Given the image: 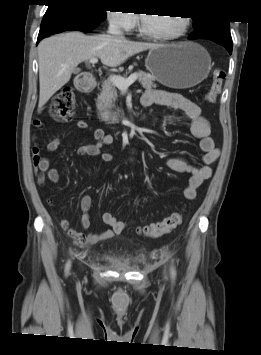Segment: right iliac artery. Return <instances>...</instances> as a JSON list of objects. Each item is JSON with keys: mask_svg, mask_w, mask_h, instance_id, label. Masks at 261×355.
<instances>
[{"mask_svg": "<svg viewBox=\"0 0 261 355\" xmlns=\"http://www.w3.org/2000/svg\"><path fill=\"white\" fill-rule=\"evenodd\" d=\"M69 269H70V262H67L66 268H65L66 274L69 272Z\"/></svg>", "mask_w": 261, "mask_h": 355, "instance_id": "82829eb1", "label": "right iliac artery"}]
</instances>
